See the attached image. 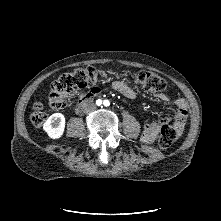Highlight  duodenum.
Returning a JSON list of instances; mask_svg holds the SVG:
<instances>
[{
  "label": "duodenum",
  "instance_id": "duodenum-1",
  "mask_svg": "<svg viewBox=\"0 0 221 221\" xmlns=\"http://www.w3.org/2000/svg\"><path fill=\"white\" fill-rule=\"evenodd\" d=\"M93 98H94V95L87 94L79 101L77 108L79 110H82L89 102H91L93 100Z\"/></svg>",
  "mask_w": 221,
  "mask_h": 221
}]
</instances>
